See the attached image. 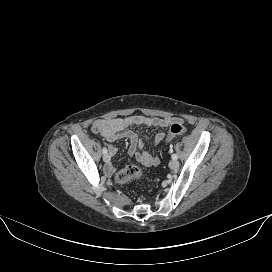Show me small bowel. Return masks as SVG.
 I'll return each mask as SVG.
<instances>
[{"mask_svg":"<svg viewBox=\"0 0 272 272\" xmlns=\"http://www.w3.org/2000/svg\"><path fill=\"white\" fill-rule=\"evenodd\" d=\"M182 122V119L177 117H147L135 115L97 120L92 125V132L102 135L109 142L128 139L130 141L129 154L139 163L151 167L156 166L159 163L158 156L146 151H141L144 146L145 139L132 131L131 128L135 125L167 128L175 123L182 124ZM165 136V133L158 132L153 138L154 143H160ZM116 152L117 149L111 146V155H115ZM106 172L108 174H112L114 172V168L109 165L106 168Z\"/></svg>","mask_w":272,"mask_h":272,"instance_id":"obj_1","label":"small bowel"}]
</instances>
